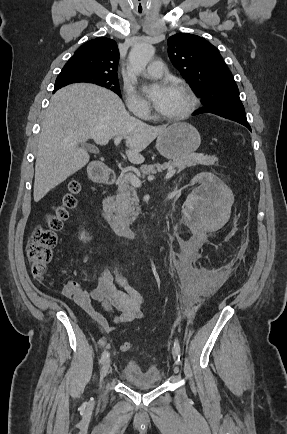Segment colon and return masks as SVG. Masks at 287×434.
<instances>
[{"instance_id":"5ec220e1","label":"colon","mask_w":287,"mask_h":434,"mask_svg":"<svg viewBox=\"0 0 287 434\" xmlns=\"http://www.w3.org/2000/svg\"><path fill=\"white\" fill-rule=\"evenodd\" d=\"M82 186L77 180L70 181L67 192L62 196L60 203L46 216L43 225H38L31 234L27 245V254L30 261L32 275L45 281L48 277L47 267L53 258V248L57 243V233L64 227L70 218L71 212L78 207V196ZM122 351L131 348L129 342L121 345Z\"/></svg>"}]
</instances>
